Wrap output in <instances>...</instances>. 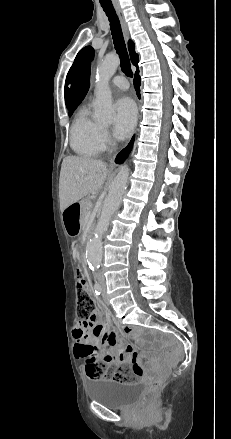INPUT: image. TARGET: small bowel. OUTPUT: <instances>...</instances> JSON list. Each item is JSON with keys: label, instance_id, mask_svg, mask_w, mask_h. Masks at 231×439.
Wrapping results in <instances>:
<instances>
[{"label": "small bowel", "instance_id": "obj_1", "mask_svg": "<svg viewBox=\"0 0 231 439\" xmlns=\"http://www.w3.org/2000/svg\"><path fill=\"white\" fill-rule=\"evenodd\" d=\"M91 292V286L87 285ZM102 312L97 311L90 322H78L73 329L74 354L84 359L101 357L105 362L118 365H139L143 372V361L131 344H118L117 335L108 323H102ZM91 354H93L91 356Z\"/></svg>", "mask_w": 231, "mask_h": 439}]
</instances>
